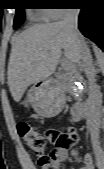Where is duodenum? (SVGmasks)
<instances>
[{
	"instance_id": "1",
	"label": "duodenum",
	"mask_w": 104,
	"mask_h": 169,
	"mask_svg": "<svg viewBox=\"0 0 104 169\" xmlns=\"http://www.w3.org/2000/svg\"><path fill=\"white\" fill-rule=\"evenodd\" d=\"M73 115L76 121H82L86 116V103L80 102L72 107Z\"/></svg>"
}]
</instances>
